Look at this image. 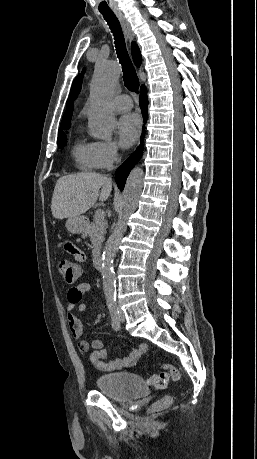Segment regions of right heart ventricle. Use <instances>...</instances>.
I'll use <instances>...</instances> for the list:
<instances>
[{"label":"right heart ventricle","instance_id":"1","mask_svg":"<svg viewBox=\"0 0 257 459\" xmlns=\"http://www.w3.org/2000/svg\"><path fill=\"white\" fill-rule=\"evenodd\" d=\"M72 154L79 169L93 170L98 168L93 155L92 143L78 139L73 147Z\"/></svg>","mask_w":257,"mask_h":459}]
</instances>
